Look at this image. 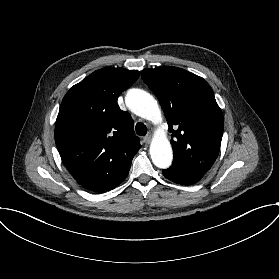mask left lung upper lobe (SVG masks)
Here are the masks:
<instances>
[{"instance_id": "left-lung-upper-lobe-1", "label": "left lung upper lobe", "mask_w": 279, "mask_h": 279, "mask_svg": "<svg viewBox=\"0 0 279 279\" xmlns=\"http://www.w3.org/2000/svg\"><path fill=\"white\" fill-rule=\"evenodd\" d=\"M142 79L159 98L172 132V167L204 175L219 154L224 128L213 90L203 78L177 67L146 68Z\"/></svg>"}]
</instances>
